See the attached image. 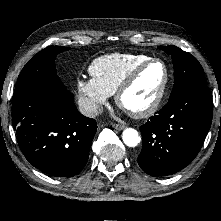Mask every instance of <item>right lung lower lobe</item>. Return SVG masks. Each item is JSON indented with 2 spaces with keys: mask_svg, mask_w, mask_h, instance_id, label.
I'll return each instance as SVG.
<instances>
[{
  "mask_svg": "<svg viewBox=\"0 0 221 221\" xmlns=\"http://www.w3.org/2000/svg\"><path fill=\"white\" fill-rule=\"evenodd\" d=\"M12 123L26 159L55 177L82 170L97 131L96 121L79 113L66 88H39L12 100Z\"/></svg>",
  "mask_w": 221,
  "mask_h": 221,
  "instance_id": "obj_1",
  "label": "right lung lower lobe"
}]
</instances>
